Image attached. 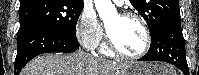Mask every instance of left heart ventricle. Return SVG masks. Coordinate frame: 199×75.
I'll list each match as a JSON object with an SVG mask.
<instances>
[{
  "label": "left heart ventricle",
  "mask_w": 199,
  "mask_h": 75,
  "mask_svg": "<svg viewBox=\"0 0 199 75\" xmlns=\"http://www.w3.org/2000/svg\"><path fill=\"white\" fill-rule=\"evenodd\" d=\"M107 29L114 43L124 52L136 54L144 48L145 35L136 20L117 15L107 23Z\"/></svg>",
  "instance_id": "obj_1"
}]
</instances>
